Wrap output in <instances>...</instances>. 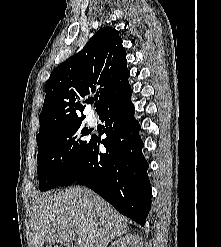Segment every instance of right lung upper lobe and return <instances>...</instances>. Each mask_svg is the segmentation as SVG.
Wrapping results in <instances>:
<instances>
[{
  "instance_id": "right-lung-upper-lobe-1",
  "label": "right lung upper lobe",
  "mask_w": 221,
  "mask_h": 247,
  "mask_svg": "<svg viewBox=\"0 0 221 247\" xmlns=\"http://www.w3.org/2000/svg\"><path fill=\"white\" fill-rule=\"evenodd\" d=\"M126 52L119 32L110 27L94 34L87 45L55 68L45 85V100L36 138L84 119L83 97L96 92L98 114L131 90ZM82 116L80 117V115Z\"/></svg>"
}]
</instances>
